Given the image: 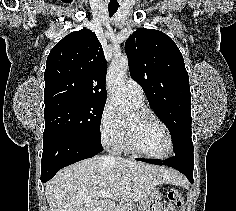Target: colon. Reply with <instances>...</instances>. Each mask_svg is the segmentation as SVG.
Wrapping results in <instances>:
<instances>
[{
  "label": "colon",
  "mask_w": 236,
  "mask_h": 211,
  "mask_svg": "<svg viewBox=\"0 0 236 211\" xmlns=\"http://www.w3.org/2000/svg\"><path fill=\"white\" fill-rule=\"evenodd\" d=\"M182 194L178 189H171L168 193V205L163 211H173L182 204Z\"/></svg>",
  "instance_id": "obj_1"
}]
</instances>
